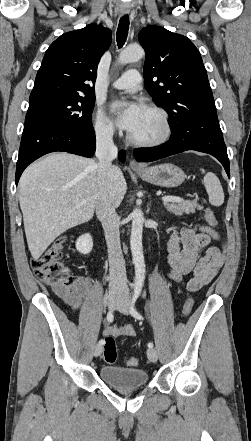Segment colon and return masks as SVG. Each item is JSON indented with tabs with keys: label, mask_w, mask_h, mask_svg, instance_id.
<instances>
[{
	"label": "colon",
	"mask_w": 251,
	"mask_h": 441,
	"mask_svg": "<svg viewBox=\"0 0 251 441\" xmlns=\"http://www.w3.org/2000/svg\"><path fill=\"white\" fill-rule=\"evenodd\" d=\"M204 218L212 226H215L217 223L214 212L209 208L205 210ZM66 242V236L58 237L41 256L31 261L34 275L58 291H67L80 281V278L62 263V252ZM193 306V299L188 297L184 303L182 315L187 317L191 313ZM104 360L108 364H114L117 361L116 343L112 336L105 338ZM126 363L130 367H135L138 364V360L134 357H129Z\"/></svg>",
	"instance_id": "colon-1"
}]
</instances>
